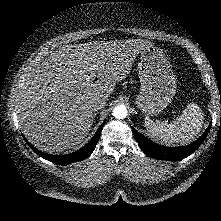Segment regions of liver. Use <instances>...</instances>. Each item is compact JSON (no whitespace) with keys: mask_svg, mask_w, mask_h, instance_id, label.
Segmentation results:
<instances>
[{"mask_svg":"<svg viewBox=\"0 0 221 221\" xmlns=\"http://www.w3.org/2000/svg\"><path fill=\"white\" fill-rule=\"evenodd\" d=\"M150 41H95L60 47L26 78L20 93L19 123L38 149L54 153L82 143L93 124L92 104L107 100L131 72ZM97 74L94 82L89 74Z\"/></svg>","mask_w":221,"mask_h":221,"instance_id":"obj_1","label":"liver"}]
</instances>
